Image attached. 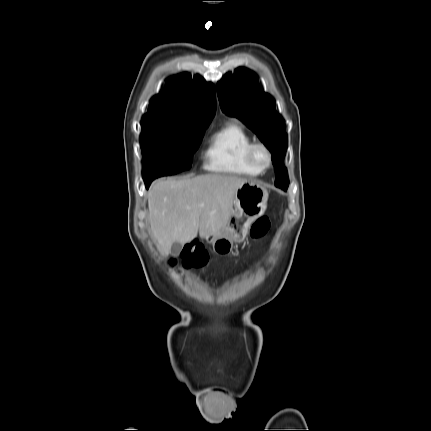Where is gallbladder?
Here are the masks:
<instances>
[{
	"mask_svg": "<svg viewBox=\"0 0 431 431\" xmlns=\"http://www.w3.org/2000/svg\"><path fill=\"white\" fill-rule=\"evenodd\" d=\"M183 248V244L179 242H174L171 247V252L173 255H179Z\"/></svg>",
	"mask_w": 431,
	"mask_h": 431,
	"instance_id": "1",
	"label": "gallbladder"
}]
</instances>
